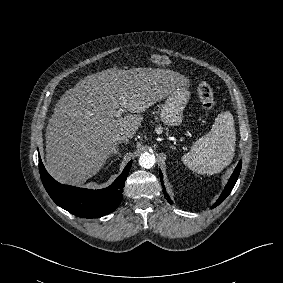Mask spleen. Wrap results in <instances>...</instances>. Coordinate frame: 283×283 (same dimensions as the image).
I'll return each mask as SVG.
<instances>
[{
  "label": "spleen",
  "mask_w": 283,
  "mask_h": 283,
  "mask_svg": "<svg viewBox=\"0 0 283 283\" xmlns=\"http://www.w3.org/2000/svg\"><path fill=\"white\" fill-rule=\"evenodd\" d=\"M235 145L233 115L225 111L217 116L211 131L198 139L191 150L183 155L182 161L196 173L216 174L232 162Z\"/></svg>",
  "instance_id": "1"
}]
</instances>
